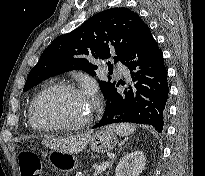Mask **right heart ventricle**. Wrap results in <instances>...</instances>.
<instances>
[{"label":"right heart ventricle","mask_w":205,"mask_h":176,"mask_svg":"<svg viewBox=\"0 0 205 176\" xmlns=\"http://www.w3.org/2000/svg\"><path fill=\"white\" fill-rule=\"evenodd\" d=\"M30 108H31V107H30ZM28 121H29L30 125H31L33 128H36V127L34 126V124L32 123L31 118H30V109H29V112H28Z\"/></svg>","instance_id":"obj_1"}]
</instances>
